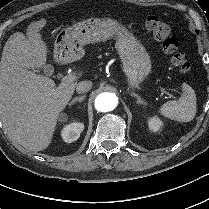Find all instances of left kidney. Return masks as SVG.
I'll return each mask as SVG.
<instances>
[{"mask_svg": "<svg viewBox=\"0 0 209 209\" xmlns=\"http://www.w3.org/2000/svg\"><path fill=\"white\" fill-rule=\"evenodd\" d=\"M148 126L151 131L157 132L162 129L163 122L160 120L158 116H153L148 118Z\"/></svg>", "mask_w": 209, "mask_h": 209, "instance_id": "5707ae66", "label": "left kidney"}]
</instances>
